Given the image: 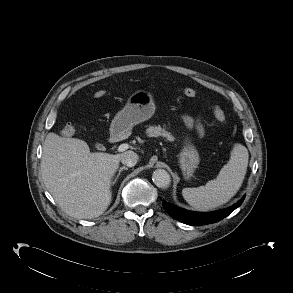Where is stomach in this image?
Returning <instances> with one entry per match:
<instances>
[{"mask_svg": "<svg viewBox=\"0 0 293 293\" xmlns=\"http://www.w3.org/2000/svg\"><path fill=\"white\" fill-rule=\"evenodd\" d=\"M154 112L152 93L145 90L135 91L113 119L110 127L111 135L115 138L126 136L135 125L150 119ZM178 162L185 178L191 177L198 167L199 153L189 138L185 139Z\"/></svg>", "mask_w": 293, "mask_h": 293, "instance_id": "obj_1", "label": "stomach"}]
</instances>
